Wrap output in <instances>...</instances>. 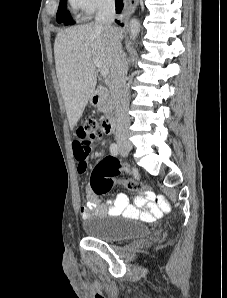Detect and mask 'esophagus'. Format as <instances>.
I'll use <instances>...</instances> for the list:
<instances>
[{"label": "esophagus", "instance_id": "1", "mask_svg": "<svg viewBox=\"0 0 227 298\" xmlns=\"http://www.w3.org/2000/svg\"><path fill=\"white\" fill-rule=\"evenodd\" d=\"M118 20L120 21V23H122V22H123V19H122V17H120Z\"/></svg>", "mask_w": 227, "mask_h": 298}]
</instances>
